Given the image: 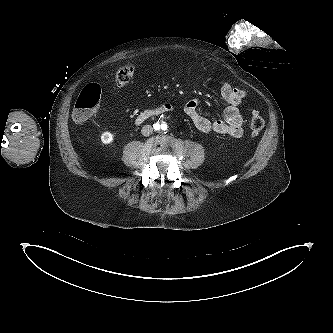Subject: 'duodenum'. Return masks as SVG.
<instances>
[{"instance_id": "duodenum-1", "label": "duodenum", "mask_w": 333, "mask_h": 333, "mask_svg": "<svg viewBox=\"0 0 333 333\" xmlns=\"http://www.w3.org/2000/svg\"><path fill=\"white\" fill-rule=\"evenodd\" d=\"M172 110V106L170 104H163L154 109H148L141 112L135 119L136 124H141L144 121L148 120L149 118L160 115L165 112H169Z\"/></svg>"}]
</instances>
